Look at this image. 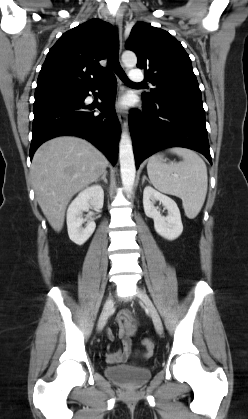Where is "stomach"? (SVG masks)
<instances>
[{
    "mask_svg": "<svg viewBox=\"0 0 248 419\" xmlns=\"http://www.w3.org/2000/svg\"><path fill=\"white\" fill-rule=\"evenodd\" d=\"M155 157L158 159V161H160V162H162V161H163V157H162V155L158 154V155H156Z\"/></svg>",
    "mask_w": 248,
    "mask_h": 419,
    "instance_id": "obj_1",
    "label": "stomach"
}]
</instances>
